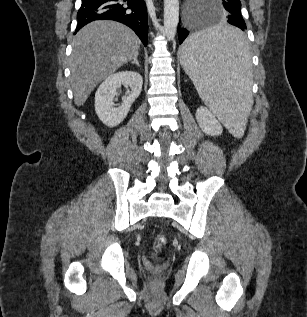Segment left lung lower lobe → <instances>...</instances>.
Listing matches in <instances>:
<instances>
[{
    "instance_id": "0a47b994",
    "label": "left lung lower lobe",
    "mask_w": 307,
    "mask_h": 317,
    "mask_svg": "<svg viewBox=\"0 0 307 317\" xmlns=\"http://www.w3.org/2000/svg\"><path fill=\"white\" fill-rule=\"evenodd\" d=\"M223 5L226 8L225 1H223ZM227 19H228L227 22L229 24H232L240 28L242 31H245L246 24L242 17L228 12ZM189 33H190V30L188 27L184 28V27H181L180 24L178 25L179 44H181L185 40V38L189 35ZM245 42H246L245 35L243 32L240 31L239 37L227 38L221 42V45L223 46V49H225V51L232 54V53L238 52L243 47Z\"/></svg>"
}]
</instances>
